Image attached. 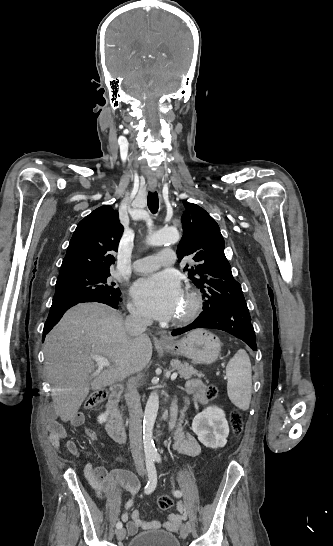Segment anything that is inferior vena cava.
<instances>
[{"instance_id": "602c4592", "label": "inferior vena cava", "mask_w": 333, "mask_h": 546, "mask_svg": "<svg viewBox=\"0 0 333 546\" xmlns=\"http://www.w3.org/2000/svg\"><path fill=\"white\" fill-rule=\"evenodd\" d=\"M130 315L125 320V328L133 336L141 335L150 321L133 307L129 308ZM125 400L129 410V441L132 457L136 468H144V453L142 447V408L140 395L134 381L128 383Z\"/></svg>"}]
</instances>
